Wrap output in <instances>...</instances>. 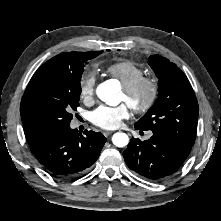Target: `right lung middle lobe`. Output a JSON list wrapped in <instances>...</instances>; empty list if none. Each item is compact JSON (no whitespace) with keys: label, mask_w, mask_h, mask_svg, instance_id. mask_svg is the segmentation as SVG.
<instances>
[{"label":"right lung middle lobe","mask_w":221,"mask_h":221,"mask_svg":"<svg viewBox=\"0 0 221 221\" xmlns=\"http://www.w3.org/2000/svg\"><path fill=\"white\" fill-rule=\"evenodd\" d=\"M101 53L84 52L72 70L43 74L29 93V111L39 124L50 131L70 125L71 111L79 106L84 67Z\"/></svg>","instance_id":"right-lung-middle-lobe-1"}]
</instances>
